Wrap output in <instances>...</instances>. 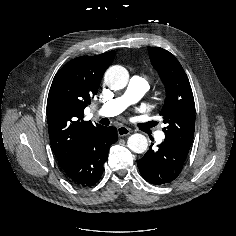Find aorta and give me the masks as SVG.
Listing matches in <instances>:
<instances>
[{"instance_id":"obj_1","label":"aorta","mask_w":236,"mask_h":236,"mask_svg":"<svg viewBox=\"0 0 236 236\" xmlns=\"http://www.w3.org/2000/svg\"><path fill=\"white\" fill-rule=\"evenodd\" d=\"M105 83L112 90H120L126 87L129 81V73L122 66H112L105 73ZM128 148L135 153H143L148 148L147 138L142 134H133L128 138Z\"/></svg>"}]
</instances>
